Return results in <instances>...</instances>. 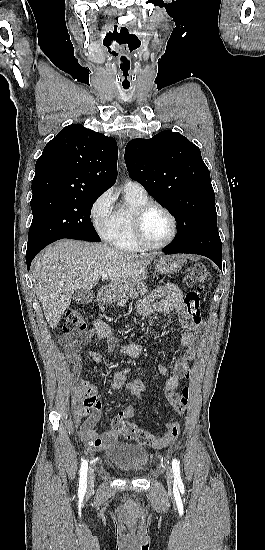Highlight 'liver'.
Here are the masks:
<instances>
[{"label": "liver", "instance_id": "1", "mask_svg": "<svg viewBox=\"0 0 265 550\" xmlns=\"http://www.w3.org/2000/svg\"><path fill=\"white\" fill-rule=\"evenodd\" d=\"M152 260L151 255L126 254L104 243L66 239L48 246L35 258L32 277L49 326L58 325L75 291L92 289L107 274L115 294L122 296Z\"/></svg>", "mask_w": 265, "mask_h": 550}]
</instances>
